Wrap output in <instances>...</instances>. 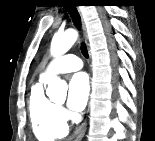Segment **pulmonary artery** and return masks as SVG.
Segmentation results:
<instances>
[{
  "label": "pulmonary artery",
  "mask_w": 155,
  "mask_h": 141,
  "mask_svg": "<svg viewBox=\"0 0 155 141\" xmlns=\"http://www.w3.org/2000/svg\"><path fill=\"white\" fill-rule=\"evenodd\" d=\"M83 66L82 60L73 54L63 55L53 60L45 72L42 74V79H47L50 75L55 73L72 72L81 69Z\"/></svg>",
  "instance_id": "pulmonary-artery-1"
}]
</instances>
